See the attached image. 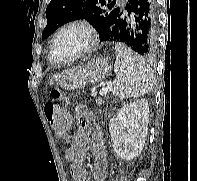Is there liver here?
Instances as JSON below:
<instances>
[{"label":"liver","mask_w":197,"mask_h":181,"mask_svg":"<svg viewBox=\"0 0 197 181\" xmlns=\"http://www.w3.org/2000/svg\"><path fill=\"white\" fill-rule=\"evenodd\" d=\"M75 70L76 69H69V70H65V71H63L61 73H57V74L52 76L51 80H58V79L62 78L63 76H65V75H67V74H69V73H71V72H73Z\"/></svg>","instance_id":"obj_1"}]
</instances>
